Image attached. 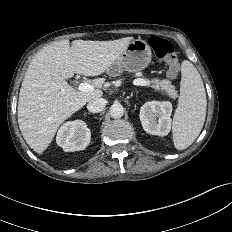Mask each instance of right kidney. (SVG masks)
Instances as JSON below:
<instances>
[{"label":"right kidney","instance_id":"obj_1","mask_svg":"<svg viewBox=\"0 0 232 232\" xmlns=\"http://www.w3.org/2000/svg\"><path fill=\"white\" fill-rule=\"evenodd\" d=\"M91 133L86 123L75 120L64 123L58 130L56 142L66 152L84 150L90 143Z\"/></svg>","mask_w":232,"mask_h":232}]
</instances>
